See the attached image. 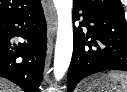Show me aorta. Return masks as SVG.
I'll return each mask as SVG.
<instances>
[{
	"label": "aorta",
	"mask_w": 127,
	"mask_h": 92,
	"mask_svg": "<svg viewBox=\"0 0 127 92\" xmlns=\"http://www.w3.org/2000/svg\"><path fill=\"white\" fill-rule=\"evenodd\" d=\"M58 17L54 56V77L61 80L69 68L73 52L72 0H53Z\"/></svg>",
	"instance_id": "1"
}]
</instances>
